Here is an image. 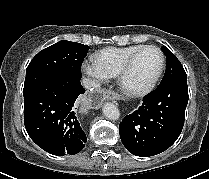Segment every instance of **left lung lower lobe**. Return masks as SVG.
<instances>
[{
	"label": "left lung lower lobe",
	"mask_w": 209,
	"mask_h": 179,
	"mask_svg": "<svg viewBox=\"0 0 209 179\" xmlns=\"http://www.w3.org/2000/svg\"><path fill=\"white\" fill-rule=\"evenodd\" d=\"M188 98L187 79L158 86L145 96L142 106L119 125L126 149L140 157L168 149L182 131Z\"/></svg>",
	"instance_id": "left-lung-lower-lobe-1"
}]
</instances>
